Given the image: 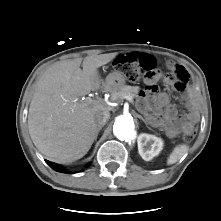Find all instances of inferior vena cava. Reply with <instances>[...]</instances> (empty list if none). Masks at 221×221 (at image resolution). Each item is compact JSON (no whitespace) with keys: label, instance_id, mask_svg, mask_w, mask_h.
<instances>
[{"label":"inferior vena cava","instance_id":"inferior-vena-cava-1","mask_svg":"<svg viewBox=\"0 0 221 221\" xmlns=\"http://www.w3.org/2000/svg\"><path fill=\"white\" fill-rule=\"evenodd\" d=\"M110 118L109 112H101L95 115V123L97 127L104 126Z\"/></svg>","mask_w":221,"mask_h":221}]
</instances>
